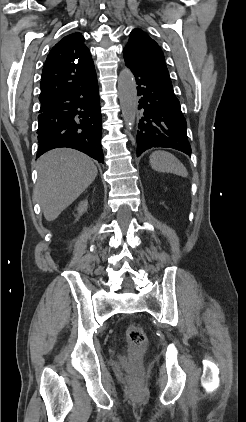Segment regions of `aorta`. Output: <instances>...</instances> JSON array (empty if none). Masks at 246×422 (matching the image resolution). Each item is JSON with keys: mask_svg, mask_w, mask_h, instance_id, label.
<instances>
[{"mask_svg": "<svg viewBox=\"0 0 246 422\" xmlns=\"http://www.w3.org/2000/svg\"><path fill=\"white\" fill-rule=\"evenodd\" d=\"M118 94L127 131L135 123L138 104L136 82L132 72L124 68L118 77Z\"/></svg>", "mask_w": 246, "mask_h": 422, "instance_id": "762f6f07", "label": "aorta"}]
</instances>
